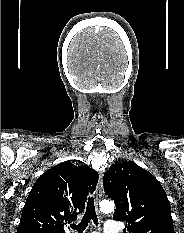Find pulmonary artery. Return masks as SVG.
I'll use <instances>...</instances> for the list:
<instances>
[{"instance_id": "obj_1", "label": "pulmonary artery", "mask_w": 184, "mask_h": 233, "mask_svg": "<svg viewBox=\"0 0 184 233\" xmlns=\"http://www.w3.org/2000/svg\"><path fill=\"white\" fill-rule=\"evenodd\" d=\"M120 228L116 221H107L104 224L103 233H119ZM95 233V232H94Z\"/></svg>"}]
</instances>
